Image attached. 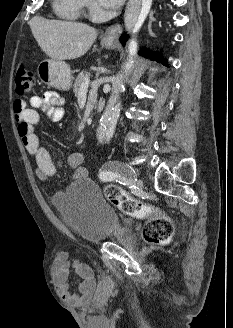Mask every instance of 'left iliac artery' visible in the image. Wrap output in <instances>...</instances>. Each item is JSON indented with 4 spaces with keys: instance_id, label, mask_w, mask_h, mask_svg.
I'll use <instances>...</instances> for the list:
<instances>
[{
    "instance_id": "44dca946",
    "label": "left iliac artery",
    "mask_w": 233,
    "mask_h": 328,
    "mask_svg": "<svg viewBox=\"0 0 233 328\" xmlns=\"http://www.w3.org/2000/svg\"><path fill=\"white\" fill-rule=\"evenodd\" d=\"M99 177L102 181H112L115 180L118 181L121 184L128 185L126 180L121 178L118 173H114L111 171H101L99 174ZM130 186V185H129Z\"/></svg>"
}]
</instances>
